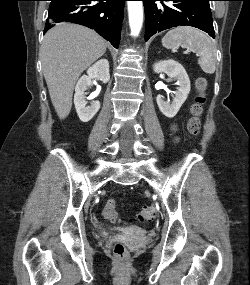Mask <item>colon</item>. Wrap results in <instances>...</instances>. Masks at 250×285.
<instances>
[{
  "instance_id": "5ec220e1",
  "label": "colon",
  "mask_w": 250,
  "mask_h": 285,
  "mask_svg": "<svg viewBox=\"0 0 250 285\" xmlns=\"http://www.w3.org/2000/svg\"><path fill=\"white\" fill-rule=\"evenodd\" d=\"M206 86L207 83L204 78H198L196 80V89L198 94L191 108L192 116L188 121V130L194 136L198 135L201 129L200 115L202 113L203 104L205 102ZM115 207H116L115 200L114 199L108 200L102 209L103 217L111 222L118 221V214L115 210ZM155 216H156L155 207L152 205H145L137 213L136 218L139 222H150L155 218ZM113 253L118 261H124L127 257V250L121 242L115 243L113 247Z\"/></svg>"
}]
</instances>
